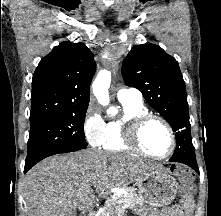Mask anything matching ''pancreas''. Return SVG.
<instances>
[{"label": "pancreas", "instance_id": "pancreas-1", "mask_svg": "<svg viewBox=\"0 0 221 216\" xmlns=\"http://www.w3.org/2000/svg\"><path fill=\"white\" fill-rule=\"evenodd\" d=\"M126 191L128 192L127 195L118 194L109 197L99 216H122L128 209L141 204L135 189L126 188Z\"/></svg>", "mask_w": 221, "mask_h": 216}]
</instances>
